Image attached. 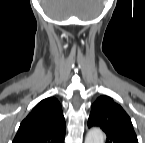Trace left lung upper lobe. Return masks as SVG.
<instances>
[{
	"label": "left lung upper lobe",
	"instance_id": "1",
	"mask_svg": "<svg viewBox=\"0 0 145 143\" xmlns=\"http://www.w3.org/2000/svg\"><path fill=\"white\" fill-rule=\"evenodd\" d=\"M92 126L102 128L106 143H138L130 117L108 96H100L92 105L88 127Z\"/></svg>",
	"mask_w": 145,
	"mask_h": 143
}]
</instances>
